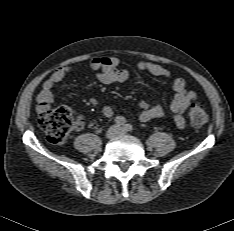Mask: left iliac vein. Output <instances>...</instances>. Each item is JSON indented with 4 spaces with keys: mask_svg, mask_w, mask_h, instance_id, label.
<instances>
[{
    "mask_svg": "<svg viewBox=\"0 0 234 231\" xmlns=\"http://www.w3.org/2000/svg\"><path fill=\"white\" fill-rule=\"evenodd\" d=\"M126 132H125V130L124 129H121V131H120V135H124Z\"/></svg>",
    "mask_w": 234,
    "mask_h": 231,
    "instance_id": "obj_1",
    "label": "left iliac vein"
}]
</instances>
